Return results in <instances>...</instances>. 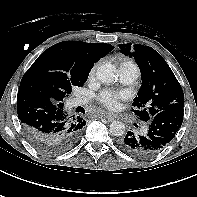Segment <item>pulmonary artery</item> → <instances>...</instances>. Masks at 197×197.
I'll return each mask as SVG.
<instances>
[{
    "label": "pulmonary artery",
    "instance_id": "1",
    "mask_svg": "<svg viewBox=\"0 0 197 197\" xmlns=\"http://www.w3.org/2000/svg\"><path fill=\"white\" fill-rule=\"evenodd\" d=\"M120 80L124 84H131L134 82L139 76V70L135 66L124 65L119 68ZM87 103V99L83 97H76L73 99L72 105H83ZM147 127L142 128V133L147 132Z\"/></svg>",
    "mask_w": 197,
    "mask_h": 197
}]
</instances>
